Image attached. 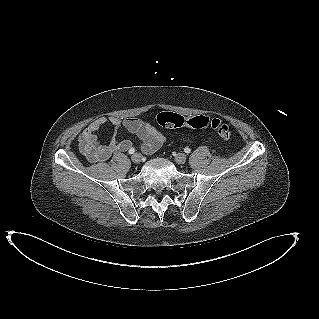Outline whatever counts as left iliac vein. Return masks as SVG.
Instances as JSON below:
<instances>
[{
    "label": "left iliac vein",
    "mask_w": 319,
    "mask_h": 319,
    "mask_svg": "<svg viewBox=\"0 0 319 319\" xmlns=\"http://www.w3.org/2000/svg\"><path fill=\"white\" fill-rule=\"evenodd\" d=\"M186 160H187V156L184 153H178L175 156V161L178 164H184L186 162Z\"/></svg>",
    "instance_id": "1"
}]
</instances>
